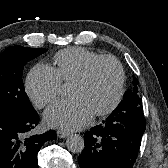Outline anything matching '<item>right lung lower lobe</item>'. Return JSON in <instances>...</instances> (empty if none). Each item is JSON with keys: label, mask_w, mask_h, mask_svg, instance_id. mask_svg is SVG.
I'll return each mask as SVG.
<instances>
[{"label": "right lung lower lobe", "mask_w": 168, "mask_h": 168, "mask_svg": "<svg viewBox=\"0 0 168 168\" xmlns=\"http://www.w3.org/2000/svg\"><path fill=\"white\" fill-rule=\"evenodd\" d=\"M38 123L35 110L0 109V168H38V151L46 141L56 138L54 130L32 135Z\"/></svg>", "instance_id": "right-lung-lower-lobe-1"}]
</instances>
